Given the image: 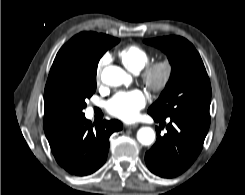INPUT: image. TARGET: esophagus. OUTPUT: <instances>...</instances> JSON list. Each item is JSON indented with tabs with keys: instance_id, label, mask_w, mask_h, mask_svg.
Listing matches in <instances>:
<instances>
[{
	"instance_id": "34e87169",
	"label": "esophagus",
	"mask_w": 245,
	"mask_h": 195,
	"mask_svg": "<svg viewBox=\"0 0 245 195\" xmlns=\"http://www.w3.org/2000/svg\"><path fill=\"white\" fill-rule=\"evenodd\" d=\"M137 127H138V124L126 125V128H128V129H134V128H137Z\"/></svg>"
}]
</instances>
